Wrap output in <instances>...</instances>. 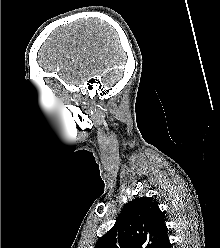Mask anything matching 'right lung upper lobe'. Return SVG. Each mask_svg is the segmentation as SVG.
<instances>
[{
	"mask_svg": "<svg viewBox=\"0 0 220 248\" xmlns=\"http://www.w3.org/2000/svg\"><path fill=\"white\" fill-rule=\"evenodd\" d=\"M167 230L157 202L151 197L135 198L124 205L95 248H158L167 238Z\"/></svg>",
	"mask_w": 220,
	"mask_h": 248,
	"instance_id": "obj_1",
	"label": "right lung upper lobe"
}]
</instances>
